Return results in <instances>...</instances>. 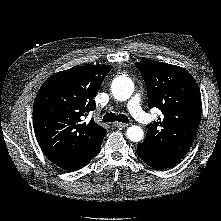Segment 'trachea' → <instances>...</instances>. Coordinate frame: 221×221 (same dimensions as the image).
<instances>
[{
    "label": "trachea",
    "mask_w": 221,
    "mask_h": 221,
    "mask_svg": "<svg viewBox=\"0 0 221 221\" xmlns=\"http://www.w3.org/2000/svg\"><path fill=\"white\" fill-rule=\"evenodd\" d=\"M103 121L105 122H122V123H128L129 120L126 115L124 114H115V113H107L103 116Z\"/></svg>",
    "instance_id": "obj_1"
}]
</instances>
